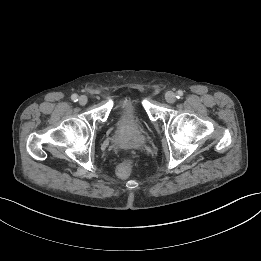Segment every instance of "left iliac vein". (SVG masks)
Instances as JSON below:
<instances>
[{
	"mask_svg": "<svg viewBox=\"0 0 261 261\" xmlns=\"http://www.w3.org/2000/svg\"><path fill=\"white\" fill-rule=\"evenodd\" d=\"M165 99L168 103H174L176 101V95L169 91L165 94Z\"/></svg>",
	"mask_w": 261,
	"mask_h": 261,
	"instance_id": "4c4485c4",
	"label": "left iliac vein"
}]
</instances>
